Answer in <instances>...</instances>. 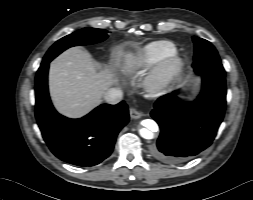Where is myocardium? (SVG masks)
<instances>
[{"label":"myocardium","mask_w":253,"mask_h":200,"mask_svg":"<svg viewBox=\"0 0 253 200\" xmlns=\"http://www.w3.org/2000/svg\"><path fill=\"white\" fill-rule=\"evenodd\" d=\"M184 59L173 52L160 59L145 80L147 91L153 95L164 92L184 68Z\"/></svg>","instance_id":"obj_1"}]
</instances>
